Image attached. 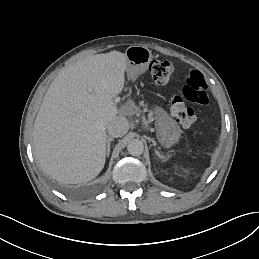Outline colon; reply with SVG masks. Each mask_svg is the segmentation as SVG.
<instances>
[{
    "mask_svg": "<svg viewBox=\"0 0 259 259\" xmlns=\"http://www.w3.org/2000/svg\"><path fill=\"white\" fill-rule=\"evenodd\" d=\"M149 71L156 85H165L169 82L174 67L169 61H153ZM188 102L201 105L208 103L207 84L203 74L197 70L192 71L185 80L182 94L170 99L171 114L183 128H190L197 119Z\"/></svg>",
    "mask_w": 259,
    "mask_h": 259,
    "instance_id": "1",
    "label": "colon"
}]
</instances>
